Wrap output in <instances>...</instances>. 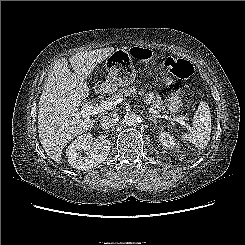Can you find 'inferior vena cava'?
<instances>
[{"mask_svg":"<svg viewBox=\"0 0 245 245\" xmlns=\"http://www.w3.org/2000/svg\"><path fill=\"white\" fill-rule=\"evenodd\" d=\"M119 121V115L117 113H106L102 116L100 124L105 129L113 128Z\"/></svg>","mask_w":245,"mask_h":245,"instance_id":"1","label":"inferior vena cava"}]
</instances>
